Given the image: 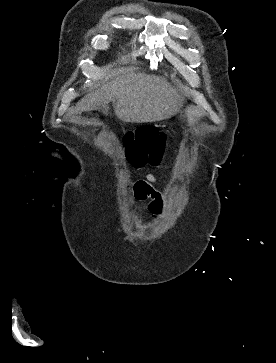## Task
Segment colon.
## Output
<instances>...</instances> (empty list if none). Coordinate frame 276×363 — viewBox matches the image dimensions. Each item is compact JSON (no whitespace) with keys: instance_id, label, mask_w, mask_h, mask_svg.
Segmentation results:
<instances>
[{"instance_id":"colon-1","label":"colon","mask_w":276,"mask_h":363,"mask_svg":"<svg viewBox=\"0 0 276 363\" xmlns=\"http://www.w3.org/2000/svg\"><path fill=\"white\" fill-rule=\"evenodd\" d=\"M126 150L134 165L157 164L165 152L166 136L163 132L144 126L125 135Z\"/></svg>"}]
</instances>
